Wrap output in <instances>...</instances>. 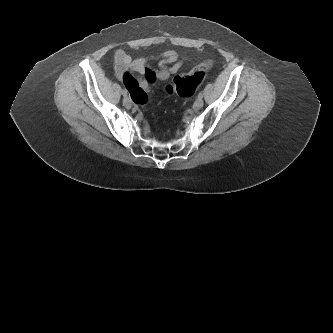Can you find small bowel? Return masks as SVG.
Segmentation results:
<instances>
[{
	"instance_id": "small-bowel-1",
	"label": "small bowel",
	"mask_w": 333,
	"mask_h": 333,
	"mask_svg": "<svg viewBox=\"0 0 333 333\" xmlns=\"http://www.w3.org/2000/svg\"><path fill=\"white\" fill-rule=\"evenodd\" d=\"M157 61L158 68L150 65ZM183 66L182 56L175 50H166L157 56L132 59L126 52L117 50L114 54V68L117 78L122 79L131 92L136 104H144L151 86L178 73ZM131 72L140 75L134 78Z\"/></svg>"
}]
</instances>
